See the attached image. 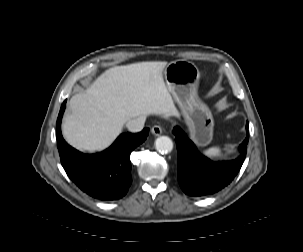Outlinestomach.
<instances>
[{"label": "stomach", "instance_id": "obj_1", "mask_svg": "<svg viewBox=\"0 0 303 252\" xmlns=\"http://www.w3.org/2000/svg\"><path fill=\"white\" fill-rule=\"evenodd\" d=\"M169 91L182 109L190 138L198 145L212 139L213 117L209 108L198 98L200 72L196 65L185 60L168 63L163 71Z\"/></svg>", "mask_w": 303, "mask_h": 252}]
</instances>
